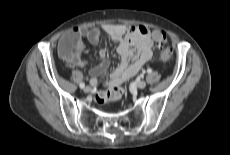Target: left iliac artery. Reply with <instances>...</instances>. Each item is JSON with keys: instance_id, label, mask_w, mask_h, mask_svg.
Masks as SVG:
<instances>
[{"instance_id": "obj_1", "label": "left iliac artery", "mask_w": 230, "mask_h": 155, "mask_svg": "<svg viewBox=\"0 0 230 155\" xmlns=\"http://www.w3.org/2000/svg\"><path fill=\"white\" fill-rule=\"evenodd\" d=\"M147 72H148V73H151V72H152V70H151V69H148V70H147Z\"/></svg>"}]
</instances>
